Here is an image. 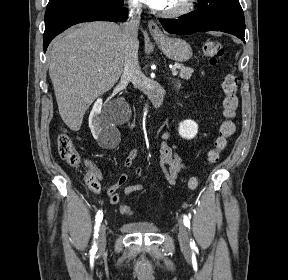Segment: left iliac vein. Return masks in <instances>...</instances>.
<instances>
[{"label": "left iliac vein", "mask_w": 288, "mask_h": 280, "mask_svg": "<svg viewBox=\"0 0 288 280\" xmlns=\"http://www.w3.org/2000/svg\"><path fill=\"white\" fill-rule=\"evenodd\" d=\"M178 240L180 243V246L188 250L189 249V236H188V231L185 226V224L182 222V220H179V225H178Z\"/></svg>", "instance_id": "left-iliac-vein-1"}]
</instances>
